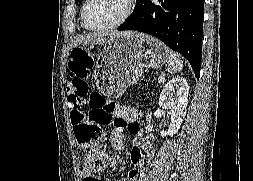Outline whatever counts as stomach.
<instances>
[{"mask_svg":"<svg viewBox=\"0 0 253 181\" xmlns=\"http://www.w3.org/2000/svg\"><path fill=\"white\" fill-rule=\"evenodd\" d=\"M168 62V48L143 33L108 39L96 62V83L100 92L112 98L142 76L143 68H160Z\"/></svg>","mask_w":253,"mask_h":181,"instance_id":"stomach-1","label":"stomach"}]
</instances>
